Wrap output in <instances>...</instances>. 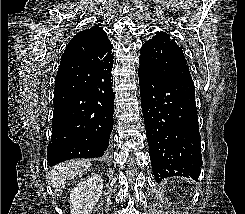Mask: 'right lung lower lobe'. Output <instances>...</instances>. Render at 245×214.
Listing matches in <instances>:
<instances>
[{"label": "right lung lower lobe", "instance_id": "1", "mask_svg": "<svg viewBox=\"0 0 245 214\" xmlns=\"http://www.w3.org/2000/svg\"><path fill=\"white\" fill-rule=\"evenodd\" d=\"M113 62L99 66L84 88L68 85L54 93L52 136L47 147L50 166L73 158L101 157L113 129Z\"/></svg>", "mask_w": 245, "mask_h": 214}]
</instances>
